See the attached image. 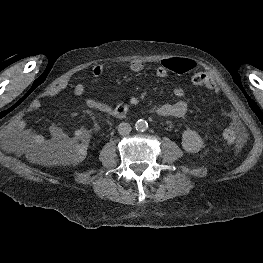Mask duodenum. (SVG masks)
Instances as JSON below:
<instances>
[{
  "label": "duodenum",
  "mask_w": 263,
  "mask_h": 263,
  "mask_svg": "<svg viewBox=\"0 0 263 263\" xmlns=\"http://www.w3.org/2000/svg\"><path fill=\"white\" fill-rule=\"evenodd\" d=\"M128 111V108L124 105H121L115 112H114V115L116 117H123L126 115Z\"/></svg>",
  "instance_id": "obj_1"
}]
</instances>
